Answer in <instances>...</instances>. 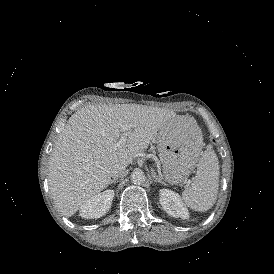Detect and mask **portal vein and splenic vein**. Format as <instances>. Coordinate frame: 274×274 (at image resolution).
Returning <instances> with one entry per match:
<instances>
[{
    "mask_svg": "<svg viewBox=\"0 0 274 274\" xmlns=\"http://www.w3.org/2000/svg\"><path fill=\"white\" fill-rule=\"evenodd\" d=\"M133 127L132 124H126V125H123L122 126V129H123V132L122 134L120 135V138L119 140L116 142L115 144V147L116 148H120V147H123L126 142H127V138L129 136V131L130 129Z\"/></svg>",
    "mask_w": 274,
    "mask_h": 274,
    "instance_id": "obj_1",
    "label": "portal vein and splenic vein"
}]
</instances>
